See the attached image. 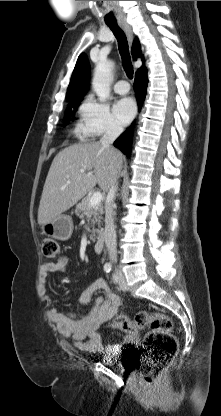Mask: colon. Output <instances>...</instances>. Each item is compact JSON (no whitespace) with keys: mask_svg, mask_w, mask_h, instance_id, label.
<instances>
[{"mask_svg":"<svg viewBox=\"0 0 221 416\" xmlns=\"http://www.w3.org/2000/svg\"><path fill=\"white\" fill-rule=\"evenodd\" d=\"M42 253L46 258L56 257L59 253L58 242L51 238L44 239ZM111 327L131 336L148 328L140 350V373L147 383L155 381L177 351L178 340L172 332V321L164 313L142 311L133 319L118 315L112 321Z\"/></svg>","mask_w":221,"mask_h":416,"instance_id":"5ec220e1","label":"colon"}]
</instances>
